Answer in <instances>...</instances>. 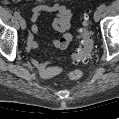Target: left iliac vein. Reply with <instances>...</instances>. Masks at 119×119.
I'll use <instances>...</instances> for the list:
<instances>
[{
	"instance_id": "left-iliac-vein-1",
	"label": "left iliac vein",
	"mask_w": 119,
	"mask_h": 119,
	"mask_svg": "<svg viewBox=\"0 0 119 119\" xmlns=\"http://www.w3.org/2000/svg\"><path fill=\"white\" fill-rule=\"evenodd\" d=\"M102 10L98 8L94 13V20L98 22L101 18Z\"/></svg>"
}]
</instances>
